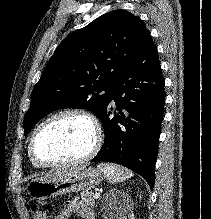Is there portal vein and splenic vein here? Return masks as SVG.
<instances>
[{
  "instance_id": "18ae733b",
  "label": "portal vein and splenic vein",
  "mask_w": 211,
  "mask_h": 219,
  "mask_svg": "<svg viewBox=\"0 0 211 219\" xmlns=\"http://www.w3.org/2000/svg\"><path fill=\"white\" fill-rule=\"evenodd\" d=\"M99 196H100V193H99L98 191H96V192L94 193V198H99Z\"/></svg>"
}]
</instances>
